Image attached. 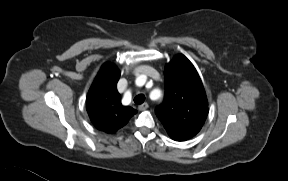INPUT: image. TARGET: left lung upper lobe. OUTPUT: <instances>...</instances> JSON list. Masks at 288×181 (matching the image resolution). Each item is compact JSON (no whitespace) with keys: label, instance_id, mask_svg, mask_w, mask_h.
Returning a JSON list of instances; mask_svg holds the SVG:
<instances>
[{"label":"left lung upper lobe","instance_id":"1","mask_svg":"<svg viewBox=\"0 0 288 181\" xmlns=\"http://www.w3.org/2000/svg\"><path fill=\"white\" fill-rule=\"evenodd\" d=\"M164 80L165 100L156 115L173 140L185 141L200 131L209 111L202 81L181 54L166 65Z\"/></svg>","mask_w":288,"mask_h":181}]
</instances>
